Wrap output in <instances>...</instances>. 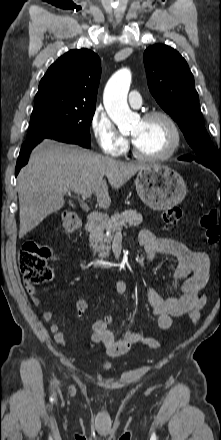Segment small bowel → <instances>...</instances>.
<instances>
[{"label":"small bowel","instance_id":"1","mask_svg":"<svg viewBox=\"0 0 221 440\" xmlns=\"http://www.w3.org/2000/svg\"><path fill=\"white\" fill-rule=\"evenodd\" d=\"M139 243L144 248L146 258L151 260L157 254H168L178 259V266L174 270L171 283L170 295L162 297L151 287L145 288V296L152 308L159 329L166 332L172 327V318L186 315L192 324L199 319L206 305V297L200 292L205 287L210 274V260L205 252L194 251L185 244L166 238H156L149 230H141ZM116 292L124 295L128 292V283L118 280L115 285ZM25 289L33 305L40 306L41 299L38 297L34 286L25 282ZM44 321H50L53 317L51 311L42 313ZM50 331L54 339L61 345H66L67 340L56 323L50 325ZM102 343L106 352L111 356H119L136 345H146L151 348L159 347V341L143 331H127L122 338H117L109 329V324H104L103 318L93 323V334L90 344Z\"/></svg>","mask_w":221,"mask_h":440}]
</instances>
